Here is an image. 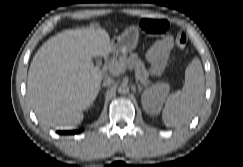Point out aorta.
I'll use <instances>...</instances> for the list:
<instances>
[{"instance_id": "1", "label": "aorta", "mask_w": 243, "mask_h": 167, "mask_svg": "<svg viewBox=\"0 0 243 167\" xmlns=\"http://www.w3.org/2000/svg\"><path fill=\"white\" fill-rule=\"evenodd\" d=\"M118 92L120 94H128L129 93V87L127 84H121L119 87H118Z\"/></svg>"}]
</instances>
